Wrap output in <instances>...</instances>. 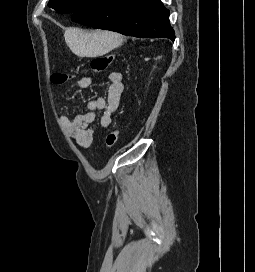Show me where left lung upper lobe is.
<instances>
[{
    "label": "left lung upper lobe",
    "mask_w": 255,
    "mask_h": 272,
    "mask_svg": "<svg viewBox=\"0 0 255 272\" xmlns=\"http://www.w3.org/2000/svg\"><path fill=\"white\" fill-rule=\"evenodd\" d=\"M90 0H50L48 6L60 14L74 13Z\"/></svg>",
    "instance_id": "1"
}]
</instances>
